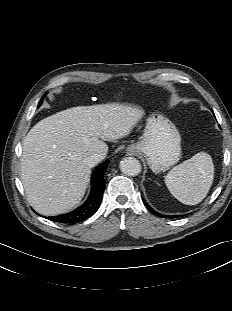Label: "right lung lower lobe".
<instances>
[{"label":"right lung lower lobe","mask_w":232,"mask_h":311,"mask_svg":"<svg viewBox=\"0 0 232 311\" xmlns=\"http://www.w3.org/2000/svg\"><path fill=\"white\" fill-rule=\"evenodd\" d=\"M109 164V160L104 161L94 170L91 177V192L88 200L74 211L47 219L59 223L75 224L91 217L99 208L105 187L104 171Z\"/></svg>","instance_id":"1"}]
</instances>
